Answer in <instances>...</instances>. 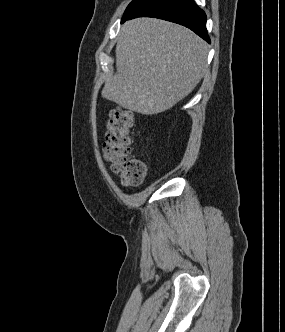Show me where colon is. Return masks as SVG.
Here are the masks:
<instances>
[{"mask_svg": "<svg viewBox=\"0 0 285 332\" xmlns=\"http://www.w3.org/2000/svg\"><path fill=\"white\" fill-rule=\"evenodd\" d=\"M135 116L130 110L115 108L110 112L103 144L105 160L123 185L137 186L146 176L147 167L142 159L131 157V129Z\"/></svg>", "mask_w": 285, "mask_h": 332, "instance_id": "1", "label": "colon"}]
</instances>
